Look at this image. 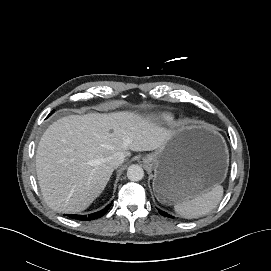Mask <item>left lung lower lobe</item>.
Instances as JSON below:
<instances>
[{
    "label": "left lung lower lobe",
    "mask_w": 271,
    "mask_h": 271,
    "mask_svg": "<svg viewBox=\"0 0 271 271\" xmlns=\"http://www.w3.org/2000/svg\"><path fill=\"white\" fill-rule=\"evenodd\" d=\"M158 211H159V213H160L161 215H163V216H165V217L174 218L173 216L167 214L166 212H164V211H162V210H158Z\"/></svg>",
    "instance_id": "1"
}]
</instances>
